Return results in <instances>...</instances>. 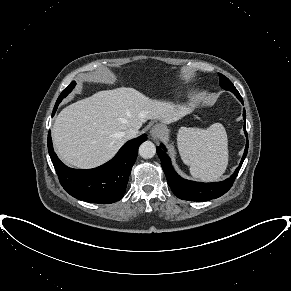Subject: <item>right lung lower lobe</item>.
Here are the masks:
<instances>
[{"mask_svg":"<svg viewBox=\"0 0 291 291\" xmlns=\"http://www.w3.org/2000/svg\"><path fill=\"white\" fill-rule=\"evenodd\" d=\"M145 140L146 135L143 134L128 141L109 162L88 170L72 169L64 165L53 150L50 132L47 146L59 182L67 193L89 203L109 204L124 196L138 148Z\"/></svg>","mask_w":291,"mask_h":291,"instance_id":"obj_1","label":"right lung lower lobe"}]
</instances>
